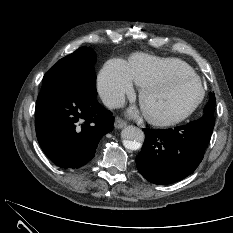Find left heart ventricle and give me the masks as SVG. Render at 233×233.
I'll return each instance as SVG.
<instances>
[{
	"instance_id": "obj_1",
	"label": "left heart ventricle",
	"mask_w": 233,
	"mask_h": 233,
	"mask_svg": "<svg viewBox=\"0 0 233 233\" xmlns=\"http://www.w3.org/2000/svg\"><path fill=\"white\" fill-rule=\"evenodd\" d=\"M200 93V84L196 80L186 79L149 91L144 97L143 107L157 116L177 117L197 101Z\"/></svg>"
}]
</instances>
